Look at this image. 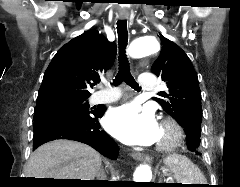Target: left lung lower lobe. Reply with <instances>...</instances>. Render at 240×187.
Returning <instances> with one entry per match:
<instances>
[{
  "mask_svg": "<svg viewBox=\"0 0 240 187\" xmlns=\"http://www.w3.org/2000/svg\"><path fill=\"white\" fill-rule=\"evenodd\" d=\"M187 135V145H188V148L192 150V146L195 144V140H196V136L193 132H189V133H186ZM196 153H198V150H195Z\"/></svg>",
  "mask_w": 240,
  "mask_h": 187,
  "instance_id": "obj_1",
  "label": "left lung lower lobe"
}]
</instances>
